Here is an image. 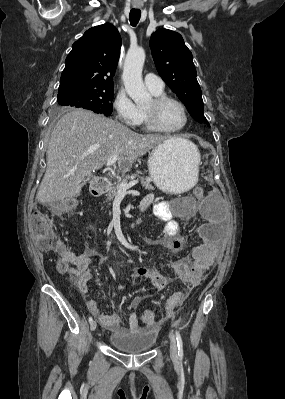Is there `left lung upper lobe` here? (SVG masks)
<instances>
[{
	"label": "left lung upper lobe",
	"mask_w": 285,
	"mask_h": 399,
	"mask_svg": "<svg viewBox=\"0 0 285 399\" xmlns=\"http://www.w3.org/2000/svg\"><path fill=\"white\" fill-rule=\"evenodd\" d=\"M149 45L156 69L163 81L178 96L196 121L209 126L204 117L201 88L196 79L192 53L185 45L182 36L162 28L151 35Z\"/></svg>",
	"instance_id": "obj_1"
}]
</instances>
